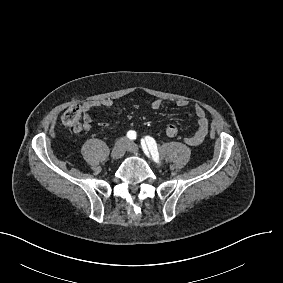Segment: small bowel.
<instances>
[{
	"label": "small bowel",
	"mask_w": 283,
	"mask_h": 283,
	"mask_svg": "<svg viewBox=\"0 0 283 283\" xmlns=\"http://www.w3.org/2000/svg\"><path fill=\"white\" fill-rule=\"evenodd\" d=\"M178 106H187V101L181 100L177 102ZM114 106V102L110 98H104L101 100H91L83 102L81 109L84 113L83 128L85 131L91 130V123L103 124L109 119V114L105 110L97 109H111ZM149 107L152 110H159L162 107V101L160 99H154L149 102ZM196 116V131L185 137L184 142L191 147L200 145L206 138L209 131V120L206 116L203 106L196 104L194 107Z\"/></svg>",
	"instance_id": "1"
}]
</instances>
